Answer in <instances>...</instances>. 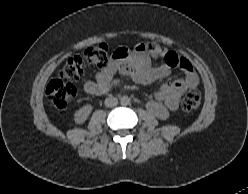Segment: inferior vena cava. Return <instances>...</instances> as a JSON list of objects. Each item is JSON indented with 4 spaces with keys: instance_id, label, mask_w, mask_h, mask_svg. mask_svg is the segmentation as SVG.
<instances>
[{
    "instance_id": "obj_1",
    "label": "inferior vena cava",
    "mask_w": 248,
    "mask_h": 194,
    "mask_svg": "<svg viewBox=\"0 0 248 194\" xmlns=\"http://www.w3.org/2000/svg\"><path fill=\"white\" fill-rule=\"evenodd\" d=\"M118 104V100L115 97H108L105 99V106L107 107H114Z\"/></svg>"
}]
</instances>
